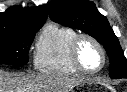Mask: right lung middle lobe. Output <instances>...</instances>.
Listing matches in <instances>:
<instances>
[{
  "label": "right lung middle lobe",
  "instance_id": "dd1d6c3e",
  "mask_svg": "<svg viewBox=\"0 0 127 92\" xmlns=\"http://www.w3.org/2000/svg\"><path fill=\"white\" fill-rule=\"evenodd\" d=\"M41 27L12 33H0V64L25 65L35 33Z\"/></svg>",
  "mask_w": 127,
  "mask_h": 92
}]
</instances>
